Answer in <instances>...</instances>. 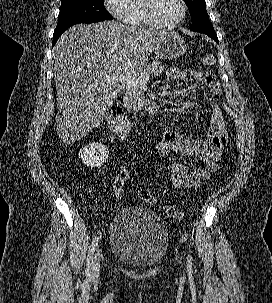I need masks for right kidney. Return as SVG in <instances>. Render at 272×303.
<instances>
[{"label":"right kidney","mask_w":272,"mask_h":303,"mask_svg":"<svg viewBox=\"0 0 272 303\" xmlns=\"http://www.w3.org/2000/svg\"><path fill=\"white\" fill-rule=\"evenodd\" d=\"M109 151L102 143H90L79 152V158L88 167L99 168L108 159Z\"/></svg>","instance_id":"right-kidney-1"}]
</instances>
